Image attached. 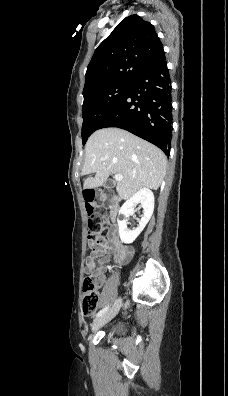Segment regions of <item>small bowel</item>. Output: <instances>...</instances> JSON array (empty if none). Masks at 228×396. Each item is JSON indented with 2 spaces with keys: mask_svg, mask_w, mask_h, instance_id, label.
<instances>
[{
  "mask_svg": "<svg viewBox=\"0 0 228 396\" xmlns=\"http://www.w3.org/2000/svg\"><path fill=\"white\" fill-rule=\"evenodd\" d=\"M91 252L86 258L85 271L87 274H92L97 278L98 284L104 282L103 271L106 263L108 262L107 255L111 252H116L119 261L127 260L133 253V249L129 246L122 244L117 237V230L111 229L107 239L102 238L97 243L89 242ZM99 258L98 266L95 260Z\"/></svg>",
  "mask_w": 228,
  "mask_h": 396,
  "instance_id": "c3829d8e",
  "label": "small bowel"
}]
</instances>
